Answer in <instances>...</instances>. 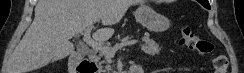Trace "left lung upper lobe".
<instances>
[{
  "instance_id": "5c2ea615",
  "label": "left lung upper lobe",
  "mask_w": 244,
  "mask_h": 73,
  "mask_svg": "<svg viewBox=\"0 0 244 73\" xmlns=\"http://www.w3.org/2000/svg\"><path fill=\"white\" fill-rule=\"evenodd\" d=\"M204 2L206 3V5H209L208 0H204ZM206 5H203V6L207 8V6H206Z\"/></svg>"
}]
</instances>
